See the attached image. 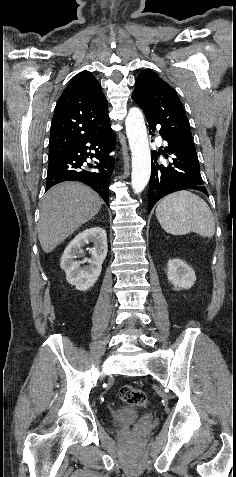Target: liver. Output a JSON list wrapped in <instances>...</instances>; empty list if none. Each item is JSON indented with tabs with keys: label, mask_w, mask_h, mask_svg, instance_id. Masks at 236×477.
I'll use <instances>...</instances> for the list:
<instances>
[{
	"label": "liver",
	"mask_w": 236,
	"mask_h": 477,
	"mask_svg": "<svg viewBox=\"0 0 236 477\" xmlns=\"http://www.w3.org/2000/svg\"><path fill=\"white\" fill-rule=\"evenodd\" d=\"M102 200L88 186L64 182L43 197L38 222V239L44 252L50 253L68 236L93 218Z\"/></svg>",
	"instance_id": "liver-1"
}]
</instances>
